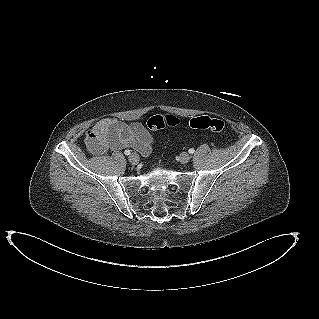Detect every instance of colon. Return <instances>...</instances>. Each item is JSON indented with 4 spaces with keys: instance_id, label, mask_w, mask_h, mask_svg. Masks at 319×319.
Masks as SVG:
<instances>
[{
    "instance_id": "obj_1",
    "label": "colon",
    "mask_w": 319,
    "mask_h": 319,
    "mask_svg": "<svg viewBox=\"0 0 319 319\" xmlns=\"http://www.w3.org/2000/svg\"><path fill=\"white\" fill-rule=\"evenodd\" d=\"M179 123V119L173 115H154L147 120V127L150 130L156 131L166 127L177 126ZM189 125L193 129L209 130L222 135L227 132V128L222 120L205 115L192 118Z\"/></svg>"
}]
</instances>
